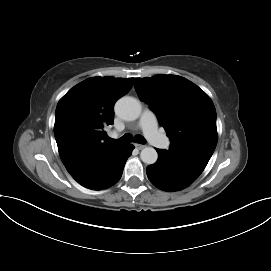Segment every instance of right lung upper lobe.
Returning <instances> with one entry per match:
<instances>
[{"mask_svg": "<svg viewBox=\"0 0 271 271\" xmlns=\"http://www.w3.org/2000/svg\"><path fill=\"white\" fill-rule=\"evenodd\" d=\"M134 78L92 77L70 89L58 102L54 134L63 164L81 183L96 174L123 145L111 143L105 127L113 106Z\"/></svg>", "mask_w": 271, "mask_h": 271, "instance_id": "obj_1", "label": "right lung upper lobe"}]
</instances>
